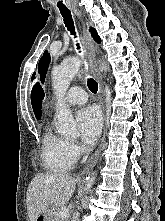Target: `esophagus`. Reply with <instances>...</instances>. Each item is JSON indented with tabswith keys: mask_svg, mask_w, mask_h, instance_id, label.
I'll return each mask as SVG.
<instances>
[{
	"mask_svg": "<svg viewBox=\"0 0 165 221\" xmlns=\"http://www.w3.org/2000/svg\"><path fill=\"white\" fill-rule=\"evenodd\" d=\"M74 12H75L76 16L82 20L81 11L75 10ZM82 24H83L82 41H83V44L85 46V51H86V53L88 55V58H89L90 71H91L92 75L95 77V79L97 80V82L99 84L100 103H101L102 109L105 112L103 79H102V76H101L100 71L98 69L97 63H96L95 45H94V42H93V40H92L88 30H87V27H86L85 23L83 22V20H82ZM105 119H106V115H105ZM105 136H106V125L104 127V133H103V137L101 139V145L105 141ZM99 152H100V150H97L93 154V156L89 159L88 163H91L93 160H95L99 156Z\"/></svg>",
	"mask_w": 165,
	"mask_h": 221,
	"instance_id": "esophagus-1",
	"label": "esophagus"
}]
</instances>
